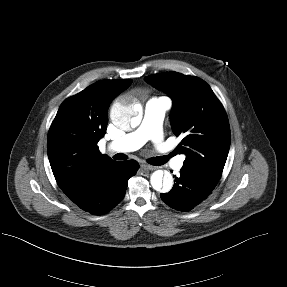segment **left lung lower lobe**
I'll return each mask as SVG.
<instances>
[{
    "instance_id": "obj_1",
    "label": "left lung lower lobe",
    "mask_w": 287,
    "mask_h": 287,
    "mask_svg": "<svg viewBox=\"0 0 287 287\" xmlns=\"http://www.w3.org/2000/svg\"><path fill=\"white\" fill-rule=\"evenodd\" d=\"M168 193L160 194L161 199L171 208L189 211L202 202L215 188V184L206 180L198 171L183 165L180 175Z\"/></svg>"
}]
</instances>
